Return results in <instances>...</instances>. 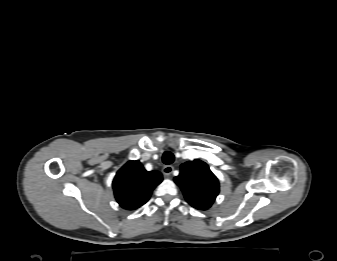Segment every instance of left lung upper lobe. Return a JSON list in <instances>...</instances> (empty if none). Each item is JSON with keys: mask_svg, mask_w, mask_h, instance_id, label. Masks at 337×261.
<instances>
[{"mask_svg": "<svg viewBox=\"0 0 337 261\" xmlns=\"http://www.w3.org/2000/svg\"><path fill=\"white\" fill-rule=\"evenodd\" d=\"M181 172L174 178L186 201L194 208L207 210L219 193V181L209 166L198 159L181 165Z\"/></svg>", "mask_w": 337, "mask_h": 261, "instance_id": "1", "label": "left lung upper lobe"}]
</instances>
